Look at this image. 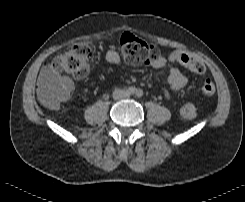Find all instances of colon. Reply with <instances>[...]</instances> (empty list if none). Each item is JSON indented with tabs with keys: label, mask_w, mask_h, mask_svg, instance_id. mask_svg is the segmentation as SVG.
Returning a JSON list of instances; mask_svg holds the SVG:
<instances>
[{
	"label": "colon",
	"mask_w": 245,
	"mask_h": 202,
	"mask_svg": "<svg viewBox=\"0 0 245 202\" xmlns=\"http://www.w3.org/2000/svg\"><path fill=\"white\" fill-rule=\"evenodd\" d=\"M121 53L126 62L137 65L157 60L160 50L156 45L142 38L127 35L121 41ZM93 56L94 47L91 44L79 43L55 56L52 61V68L60 75L79 80L84 78L90 71ZM176 60L196 74H202L205 71L204 63L187 52H178ZM201 90L205 96H212L215 93L213 81L205 79ZM39 96L47 107L57 108L69 98V93L56 84L41 90ZM181 115L187 120L196 118V107L191 103L183 105Z\"/></svg>",
	"instance_id": "5ec220e1"
}]
</instances>
